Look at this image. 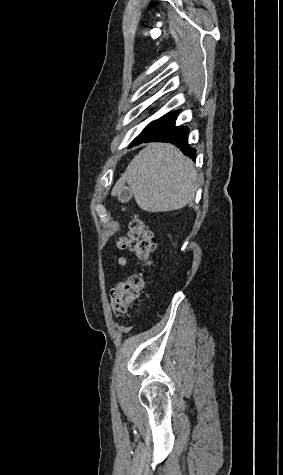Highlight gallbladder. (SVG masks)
Returning <instances> with one entry per match:
<instances>
[{
	"label": "gallbladder",
	"mask_w": 283,
	"mask_h": 475,
	"mask_svg": "<svg viewBox=\"0 0 283 475\" xmlns=\"http://www.w3.org/2000/svg\"><path fill=\"white\" fill-rule=\"evenodd\" d=\"M132 198V192L129 190V188H124L120 194H118V200L119 202H122V204H125V202H129Z\"/></svg>",
	"instance_id": "gallbladder-1"
}]
</instances>
